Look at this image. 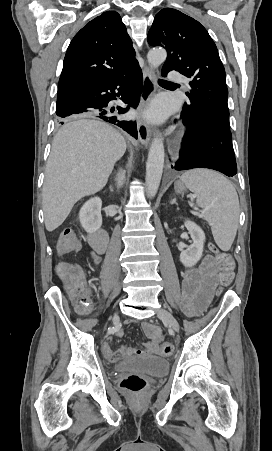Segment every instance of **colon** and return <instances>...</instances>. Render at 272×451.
Wrapping results in <instances>:
<instances>
[{"label":"colon","mask_w":272,"mask_h":451,"mask_svg":"<svg viewBox=\"0 0 272 451\" xmlns=\"http://www.w3.org/2000/svg\"><path fill=\"white\" fill-rule=\"evenodd\" d=\"M79 238L78 232L71 227L66 228L62 233L60 249L63 256H77L79 249L77 248ZM211 250L214 252L215 258L218 262L220 273L218 283L215 287L223 288L229 285L234 277L235 262L231 255L223 250L216 249L211 246ZM57 273L59 275V281L62 289H70L69 295L73 297L74 306L82 308L83 306H89L91 301L90 288H85L83 283L85 280L84 274L78 265L72 267L68 262H62L57 265ZM172 348L170 345H161V354H170ZM123 358L120 354L118 359ZM147 386L145 377L140 375H131L121 380V388L131 391L132 393H139Z\"/></svg>","instance_id":"obj_1"}]
</instances>
